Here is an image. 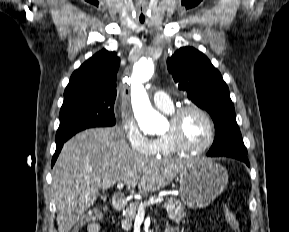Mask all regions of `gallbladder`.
I'll return each mask as SVG.
<instances>
[{
    "label": "gallbladder",
    "instance_id": "obj_1",
    "mask_svg": "<svg viewBox=\"0 0 289 232\" xmlns=\"http://www.w3.org/2000/svg\"><path fill=\"white\" fill-rule=\"evenodd\" d=\"M101 199L106 200V195H102Z\"/></svg>",
    "mask_w": 289,
    "mask_h": 232
}]
</instances>
